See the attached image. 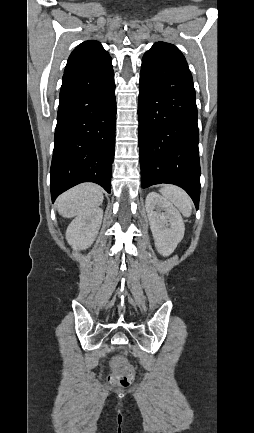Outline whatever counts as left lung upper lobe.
I'll return each instance as SVG.
<instances>
[{"label":"left lung upper lobe","mask_w":254,"mask_h":433,"mask_svg":"<svg viewBox=\"0 0 254 433\" xmlns=\"http://www.w3.org/2000/svg\"><path fill=\"white\" fill-rule=\"evenodd\" d=\"M144 55H154L188 68L186 59L181 51L170 43L157 42Z\"/></svg>","instance_id":"left-lung-upper-lobe-1"}]
</instances>
